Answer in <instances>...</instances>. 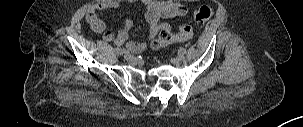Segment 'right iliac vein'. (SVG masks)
Listing matches in <instances>:
<instances>
[{
  "instance_id": "1",
  "label": "right iliac vein",
  "mask_w": 303,
  "mask_h": 127,
  "mask_svg": "<svg viewBox=\"0 0 303 127\" xmlns=\"http://www.w3.org/2000/svg\"><path fill=\"white\" fill-rule=\"evenodd\" d=\"M124 58L129 62H134L136 60V58L133 55L128 54V53L124 54Z\"/></svg>"
}]
</instances>
